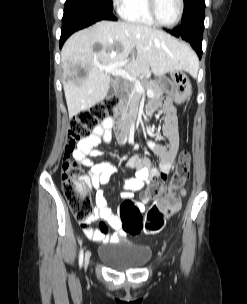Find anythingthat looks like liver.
I'll list each match as a JSON object with an SVG mask.
<instances>
[{"label":"liver","mask_w":247,"mask_h":304,"mask_svg":"<svg viewBox=\"0 0 247 304\" xmlns=\"http://www.w3.org/2000/svg\"><path fill=\"white\" fill-rule=\"evenodd\" d=\"M95 44L101 45L100 51L93 50ZM130 55L132 59L128 60ZM124 60H128L124 69L133 77L147 73L149 68L158 77L178 70L193 73L198 68L189 46L163 31L137 23L100 21L74 33L61 51L69 118L107 96L110 75L100 66ZM77 66L86 71L80 84L73 80Z\"/></svg>","instance_id":"6515ba94"}]
</instances>
